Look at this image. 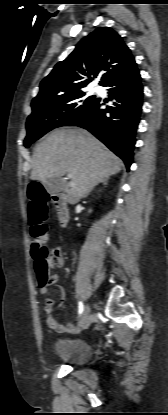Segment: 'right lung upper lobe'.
<instances>
[{"label": "right lung upper lobe", "mask_w": 168, "mask_h": 415, "mask_svg": "<svg viewBox=\"0 0 168 415\" xmlns=\"http://www.w3.org/2000/svg\"><path fill=\"white\" fill-rule=\"evenodd\" d=\"M135 64L120 35L108 27H99L84 37L74 51L57 63L40 83V91L31 106L82 91L100 72V85Z\"/></svg>", "instance_id": "1"}]
</instances>
